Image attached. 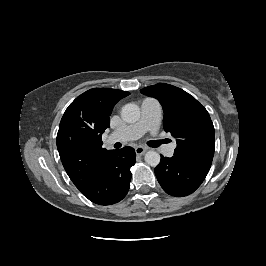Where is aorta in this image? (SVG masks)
Returning <instances> with one entry per match:
<instances>
[{"mask_svg":"<svg viewBox=\"0 0 266 266\" xmlns=\"http://www.w3.org/2000/svg\"><path fill=\"white\" fill-rule=\"evenodd\" d=\"M121 117L127 123H134L140 118V108L134 103H128L123 106ZM144 159L148 165L155 167L160 163V154L156 151H148Z\"/></svg>","mask_w":266,"mask_h":266,"instance_id":"aorta-1","label":"aorta"}]
</instances>
